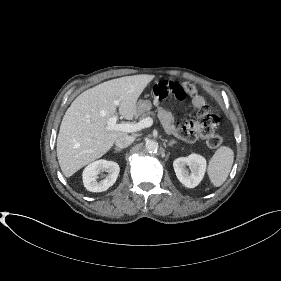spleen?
<instances>
[{"instance_id":"3e777b00","label":"spleen","mask_w":281,"mask_h":281,"mask_svg":"<svg viewBox=\"0 0 281 281\" xmlns=\"http://www.w3.org/2000/svg\"><path fill=\"white\" fill-rule=\"evenodd\" d=\"M234 161V152L227 146H221L212 156L208 165V176L215 187H220L227 179Z\"/></svg>"}]
</instances>
